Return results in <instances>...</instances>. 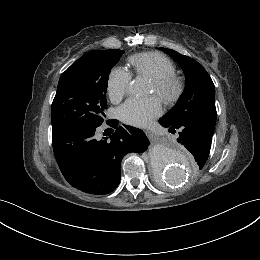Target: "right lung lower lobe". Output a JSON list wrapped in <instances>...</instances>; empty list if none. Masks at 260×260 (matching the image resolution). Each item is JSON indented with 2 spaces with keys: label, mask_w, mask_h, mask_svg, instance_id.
<instances>
[{
  "label": "right lung lower lobe",
  "mask_w": 260,
  "mask_h": 260,
  "mask_svg": "<svg viewBox=\"0 0 260 260\" xmlns=\"http://www.w3.org/2000/svg\"><path fill=\"white\" fill-rule=\"evenodd\" d=\"M108 138L98 140V126L68 127L52 132L54 155L65 179L75 188L90 194L105 195L120 183V166L129 152L142 153L149 140L140 129L117 127Z\"/></svg>",
  "instance_id": "obj_1"
}]
</instances>
